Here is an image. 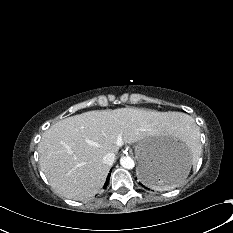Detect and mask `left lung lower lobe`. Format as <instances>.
Returning a JSON list of instances; mask_svg holds the SVG:
<instances>
[{
  "label": "left lung lower lobe",
  "mask_w": 233,
  "mask_h": 233,
  "mask_svg": "<svg viewBox=\"0 0 233 233\" xmlns=\"http://www.w3.org/2000/svg\"><path fill=\"white\" fill-rule=\"evenodd\" d=\"M181 175L179 163L150 162L142 169L139 184L153 189H165L177 182ZM152 184V186L149 185Z\"/></svg>",
  "instance_id": "left-lung-lower-lobe-1"
}]
</instances>
